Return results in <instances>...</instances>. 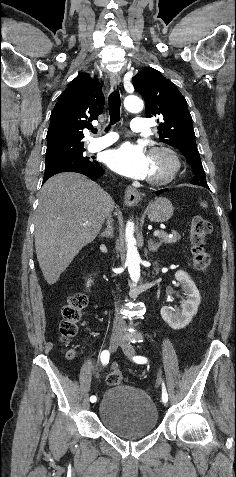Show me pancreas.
Here are the masks:
<instances>
[{
	"mask_svg": "<svg viewBox=\"0 0 236 477\" xmlns=\"http://www.w3.org/2000/svg\"><path fill=\"white\" fill-rule=\"evenodd\" d=\"M180 234L177 232H173L172 236H169L166 232H160L159 239L162 243L170 244L175 243L180 240Z\"/></svg>",
	"mask_w": 236,
	"mask_h": 477,
	"instance_id": "cf45deb5",
	"label": "pancreas"
}]
</instances>
